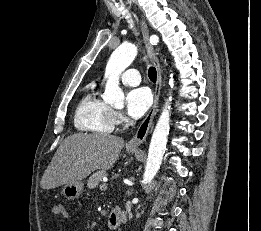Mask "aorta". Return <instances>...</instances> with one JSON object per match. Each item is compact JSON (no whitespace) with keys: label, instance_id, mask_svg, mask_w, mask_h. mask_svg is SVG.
Returning <instances> with one entry per match:
<instances>
[{"label":"aorta","instance_id":"obj_1","mask_svg":"<svg viewBox=\"0 0 261 231\" xmlns=\"http://www.w3.org/2000/svg\"><path fill=\"white\" fill-rule=\"evenodd\" d=\"M137 55V47L131 43H123L112 53L105 70V92L103 100L114 106H123L124 93L119 86L120 74L133 62ZM173 78L169 84L173 87ZM171 96L166 101L162 113L154 129L149 146L148 158L145 167L142 183L147 184L152 181L158 172L166 150L167 138L169 134L170 102Z\"/></svg>","mask_w":261,"mask_h":231}]
</instances>
